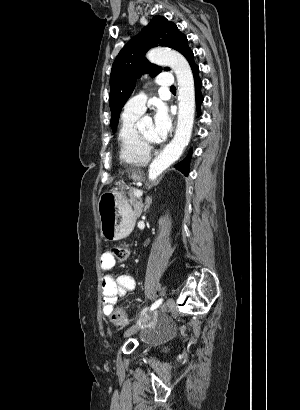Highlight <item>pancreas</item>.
I'll return each mask as SVG.
<instances>
[{
    "mask_svg": "<svg viewBox=\"0 0 300 410\" xmlns=\"http://www.w3.org/2000/svg\"><path fill=\"white\" fill-rule=\"evenodd\" d=\"M135 190L136 189H132L129 191V201L133 205L135 216L139 217L142 213V201L133 194Z\"/></svg>",
    "mask_w": 300,
    "mask_h": 410,
    "instance_id": "pancreas-1",
    "label": "pancreas"
}]
</instances>
